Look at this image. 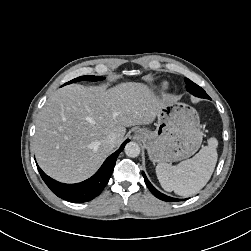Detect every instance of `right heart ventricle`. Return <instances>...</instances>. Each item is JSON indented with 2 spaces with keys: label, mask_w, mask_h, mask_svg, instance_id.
I'll list each match as a JSON object with an SVG mask.
<instances>
[{
  "label": "right heart ventricle",
  "mask_w": 251,
  "mask_h": 251,
  "mask_svg": "<svg viewBox=\"0 0 251 251\" xmlns=\"http://www.w3.org/2000/svg\"><path fill=\"white\" fill-rule=\"evenodd\" d=\"M161 87H162V88H166V87H167V84H166V83H162V84H161Z\"/></svg>",
  "instance_id": "e07e8e85"
}]
</instances>
